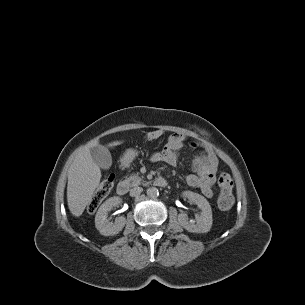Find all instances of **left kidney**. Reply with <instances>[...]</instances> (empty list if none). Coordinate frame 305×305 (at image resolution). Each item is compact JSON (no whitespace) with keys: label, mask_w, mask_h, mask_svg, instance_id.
<instances>
[{"label":"left kidney","mask_w":305,"mask_h":305,"mask_svg":"<svg viewBox=\"0 0 305 305\" xmlns=\"http://www.w3.org/2000/svg\"><path fill=\"white\" fill-rule=\"evenodd\" d=\"M183 197L188 198L194 204H196L201 210L199 215H196L195 220H189L187 214L180 213L178 215L179 224L192 233H207L210 231L212 226V210L209 202L202 195L185 191Z\"/></svg>","instance_id":"left-kidney-1"}]
</instances>
